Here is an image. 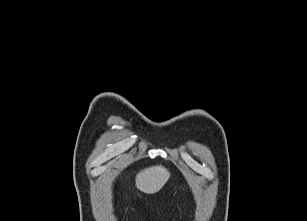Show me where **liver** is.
<instances>
[{
  "label": "liver",
  "mask_w": 307,
  "mask_h": 221,
  "mask_svg": "<svg viewBox=\"0 0 307 221\" xmlns=\"http://www.w3.org/2000/svg\"><path fill=\"white\" fill-rule=\"evenodd\" d=\"M170 177L169 171L159 165L140 171L136 176V187L147 194L158 192Z\"/></svg>",
  "instance_id": "liver-1"
}]
</instances>
